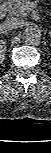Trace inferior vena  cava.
<instances>
[{"label": "inferior vena cava", "instance_id": "602c4592", "mask_svg": "<svg viewBox=\"0 0 51 153\" xmlns=\"http://www.w3.org/2000/svg\"><path fill=\"white\" fill-rule=\"evenodd\" d=\"M24 25V20L16 17L8 18L3 24V30H14L21 28Z\"/></svg>", "mask_w": 51, "mask_h": 153}]
</instances>
